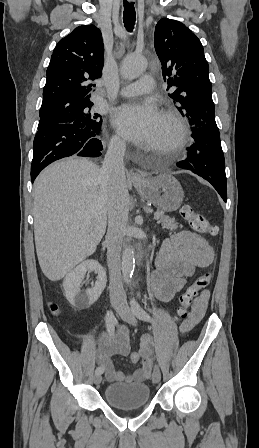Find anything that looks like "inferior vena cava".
I'll return each instance as SVG.
<instances>
[{"label":"inferior vena cava","mask_w":259,"mask_h":448,"mask_svg":"<svg viewBox=\"0 0 259 448\" xmlns=\"http://www.w3.org/2000/svg\"><path fill=\"white\" fill-rule=\"evenodd\" d=\"M126 142L112 138L99 172L100 188L108 194V230L105 238L110 278V300L128 308L121 276V248L127 230L129 194L126 186L123 156Z\"/></svg>","instance_id":"obj_1"}]
</instances>
